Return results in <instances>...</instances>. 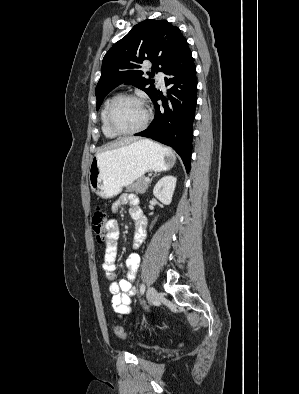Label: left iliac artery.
Here are the masks:
<instances>
[{"mask_svg": "<svg viewBox=\"0 0 299 394\" xmlns=\"http://www.w3.org/2000/svg\"><path fill=\"white\" fill-rule=\"evenodd\" d=\"M144 291H145V285L142 284V285L140 286V293L143 294Z\"/></svg>", "mask_w": 299, "mask_h": 394, "instance_id": "44dca946", "label": "left iliac artery"}]
</instances>
